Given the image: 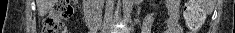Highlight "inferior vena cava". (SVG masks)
<instances>
[{
	"label": "inferior vena cava",
	"instance_id": "obj_1",
	"mask_svg": "<svg viewBox=\"0 0 235 33\" xmlns=\"http://www.w3.org/2000/svg\"><path fill=\"white\" fill-rule=\"evenodd\" d=\"M105 19L107 21H110L112 19V7L111 6H107L106 8Z\"/></svg>",
	"mask_w": 235,
	"mask_h": 33
}]
</instances>
